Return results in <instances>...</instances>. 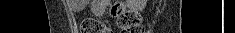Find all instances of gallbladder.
<instances>
[{"instance_id":"1","label":"gallbladder","mask_w":235,"mask_h":33,"mask_svg":"<svg viewBox=\"0 0 235 33\" xmlns=\"http://www.w3.org/2000/svg\"><path fill=\"white\" fill-rule=\"evenodd\" d=\"M85 2H87V0H85ZM82 6L84 7V4H82Z\"/></svg>"}]
</instances>
